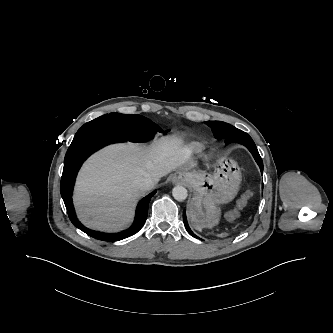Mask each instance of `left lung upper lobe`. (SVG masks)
I'll use <instances>...</instances> for the list:
<instances>
[{
  "label": "left lung upper lobe",
  "instance_id": "obj_1",
  "mask_svg": "<svg viewBox=\"0 0 333 333\" xmlns=\"http://www.w3.org/2000/svg\"><path fill=\"white\" fill-rule=\"evenodd\" d=\"M206 124L211 127L217 139H226V142L242 143V131L234 126L221 121H207Z\"/></svg>",
  "mask_w": 333,
  "mask_h": 333
}]
</instances>
